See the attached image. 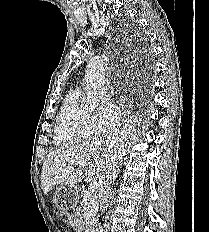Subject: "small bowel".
Returning a JSON list of instances; mask_svg holds the SVG:
<instances>
[{"label":"small bowel","mask_w":209,"mask_h":232,"mask_svg":"<svg viewBox=\"0 0 209 232\" xmlns=\"http://www.w3.org/2000/svg\"><path fill=\"white\" fill-rule=\"evenodd\" d=\"M72 226L76 229L77 232H81V227H80V220H79V218H76V219L72 222Z\"/></svg>","instance_id":"small-bowel-1"}]
</instances>
